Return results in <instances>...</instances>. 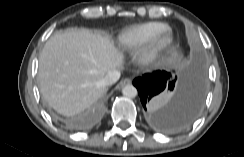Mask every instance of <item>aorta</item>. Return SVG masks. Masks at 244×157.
<instances>
[{
  "label": "aorta",
  "instance_id": "aorta-1",
  "mask_svg": "<svg viewBox=\"0 0 244 157\" xmlns=\"http://www.w3.org/2000/svg\"><path fill=\"white\" fill-rule=\"evenodd\" d=\"M137 89L133 85H126L122 89V94L128 98H134L137 95Z\"/></svg>",
  "mask_w": 244,
  "mask_h": 157
}]
</instances>
